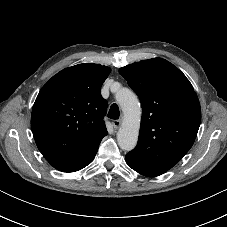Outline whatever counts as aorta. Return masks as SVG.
Returning a JSON list of instances; mask_svg holds the SVG:
<instances>
[{
    "label": "aorta",
    "mask_w": 227,
    "mask_h": 227,
    "mask_svg": "<svg viewBox=\"0 0 227 227\" xmlns=\"http://www.w3.org/2000/svg\"><path fill=\"white\" fill-rule=\"evenodd\" d=\"M116 100L121 107L124 120L117 133L118 145L125 151L135 148L140 129L141 107L137 96L128 88H121L116 93Z\"/></svg>",
    "instance_id": "762f6f07"
}]
</instances>
